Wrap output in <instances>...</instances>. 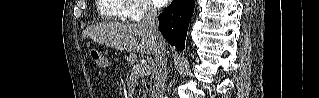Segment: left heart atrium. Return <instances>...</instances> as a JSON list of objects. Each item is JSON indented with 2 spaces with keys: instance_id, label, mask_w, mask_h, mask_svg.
Listing matches in <instances>:
<instances>
[{
  "instance_id": "39dd6f15",
  "label": "left heart atrium",
  "mask_w": 319,
  "mask_h": 98,
  "mask_svg": "<svg viewBox=\"0 0 319 98\" xmlns=\"http://www.w3.org/2000/svg\"><path fill=\"white\" fill-rule=\"evenodd\" d=\"M155 3L162 7V6H165L167 3H168V0H156Z\"/></svg>"
}]
</instances>
